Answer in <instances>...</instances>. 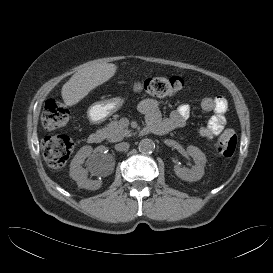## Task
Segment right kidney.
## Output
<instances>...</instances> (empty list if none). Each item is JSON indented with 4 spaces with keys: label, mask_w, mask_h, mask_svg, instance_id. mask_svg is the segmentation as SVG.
I'll return each mask as SVG.
<instances>
[{
    "label": "right kidney",
    "mask_w": 273,
    "mask_h": 273,
    "mask_svg": "<svg viewBox=\"0 0 273 273\" xmlns=\"http://www.w3.org/2000/svg\"><path fill=\"white\" fill-rule=\"evenodd\" d=\"M93 149L91 146L82 147L75 157L73 158L70 164V177L75 180L79 187L86 188L90 190H94V185L87 179V171L82 167L85 159L89 157L92 153ZM91 167L97 166V162L95 160L91 161Z\"/></svg>",
    "instance_id": "obj_1"
}]
</instances>
